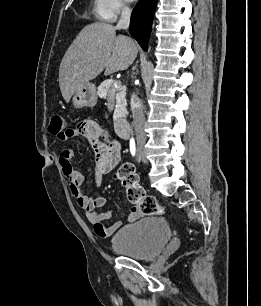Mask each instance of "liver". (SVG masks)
<instances>
[{
    "mask_svg": "<svg viewBox=\"0 0 261 306\" xmlns=\"http://www.w3.org/2000/svg\"><path fill=\"white\" fill-rule=\"evenodd\" d=\"M138 54L136 43L127 36H116L110 24L97 22L85 26L66 51L59 68V86L69 102L85 83L104 70L106 76L129 68Z\"/></svg>",
    "mask_w": 261,
    "mask_h": 306,
    "instance_id": "6515ba94",
    "label": "liver"
}]
</instances>
